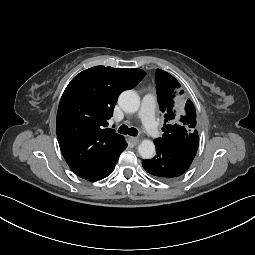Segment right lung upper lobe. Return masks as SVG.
I'll use <instances>...</instances> for the list:
<instances>
[{
	"label": "right lung upper lobe",
	"mask_w": 255,
	"mask_h": 255,
	"mask_svg": "<svg viewBox=\"0 0 255 255\" xmlns=\"http://www.w3.org/2000/svg\"><path fill=\"white\" fill-rule=\"evenodd\" d=\"M141 69L95 66L80 72L66 87L57 112L61 152L72 171L86 176L121 152L127 143L105 129L120 93L145 76Z\"/></svg>",
	"instance_id": "obj_1"
}]
</instances>
